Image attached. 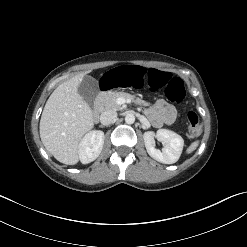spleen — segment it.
Masks as SVG:
<instances>
[{
    "label": "spleen",
    "mask_w": 247,
    "mask_h": 247,
    "mask_svg": "<svg viewBox=\"0 0 247 247\" xmlns=\"http://www.w3.org/2000/svg\"><path fill=\"white\" fill-rule=\"evenodd\" d=\"M198 145H199V141L193 142V143L188 147L187 153L189 154V153L193 152V151L198 147Z\"/></svg>",
    "instance_id": "3e777b00"
}]
</instances>
